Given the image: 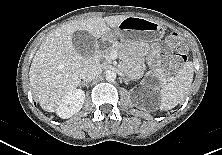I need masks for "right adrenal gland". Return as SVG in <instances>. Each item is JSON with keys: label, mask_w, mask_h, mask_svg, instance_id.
Listing matches in <instances>:
<instances>
[{"label": "right adrenal gland", "mask_w": 222, "mask_h": 155, "mask_svg": "<svg viewBox=\"0 0 222 155\" xmlns=\"http://www.w3.org/2000/svg\"><path fill=\"white\" fill-rule=\"evenodd\" d=\"M88 85V82H81L80 84H79V86L81 87V86H87Z\"/></svg>", "instance_id": "1"}]
</instances>
